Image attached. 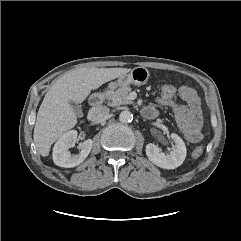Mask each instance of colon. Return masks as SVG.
Masks as SVG:
<instances>
[{
  "instance_id": "obj_1",
  "label": "colon",
  "mask_w": 241,
  "mask_h": 241,
  "mask_svg": "<svg viewBox=\"0 0 241 241\" xmlns=\"http://www.w3.org/2000/svg\"><path fill=\"white\" fill-rule=\"evenodd\" d=\"M176 94L175 86L166 84L161 88L160 97L166 101L173 99ZM203 154V148L198 147L193 151V157L199 158Z\"/></svg>"
}]
</instances>
